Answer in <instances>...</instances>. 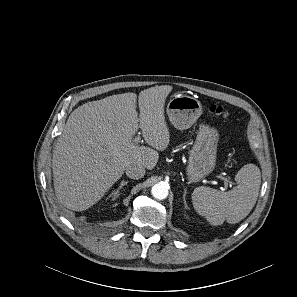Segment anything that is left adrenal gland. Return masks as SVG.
I'll list each match as a JSON object with an SVG mask.
<instances>
[{
    "mask_svg": "<svg viewBox=\"0 0 297 297\" xmlns=\"http://www.w3.org/2000/svg\"><path fill=\"white\" fill-rule=\"evenodd\" d=\"M186 189H184V193H183V203L185 205V208H188L187 203H186Z\"/></svg>",
    "mask_w": 297,
    "mask_h": 297,
    "instance_id": "a2214340",
    "label": "left adrenal gland"
}]
</instances>
